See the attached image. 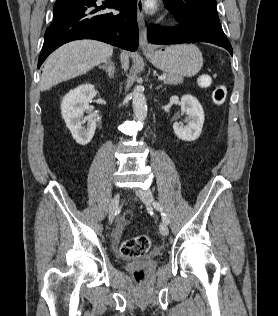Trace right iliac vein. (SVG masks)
<instances>
[{"mask_svg": "<svg viewBox=\"0 0 278 316\" xmlns=\"http://www.w3.org/2000/svg\"><path fill=\"white\" fill-rule=\"evenodd\" d=\"M119 199H120V195L119 193H116L110 203V206H109V222L112 223L114 218H115V215H116V211L118 209V205H119Z\"/></svg>", "mask_w": 278, "mask_h": 316, "instance_id": "1", "label": "right iliac vein"}]
</instances>
